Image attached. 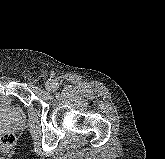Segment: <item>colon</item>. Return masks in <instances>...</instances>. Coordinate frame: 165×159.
<instances>
[{
    "label": "colon",
    "mask_w": 165,
    "mask_h": 159,
    "mask_svg": "<svg viewBox=\"0 0 165 159\" xmlns=\"http://www.w3.org/2000/svg\"><path fill=\"white\" fill-rule=\"evenodd\" d=\"M15 144V136L12 133H3L0 135V148L8 150Z\"/></svg>",
    "instance_id": "obj_1"
}]
</instances>
